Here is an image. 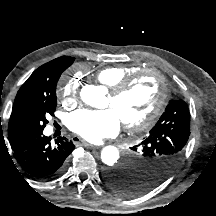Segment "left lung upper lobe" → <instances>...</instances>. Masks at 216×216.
Returning a JSON list of instances; mask_svg holds the SVG:
<instances>
[{
  "mask_svg": "<svg viewBox=\"0 0 216 216\" xmlns=\"http://www.w3.org/2000/svg\"><path fill=\"white\" fill-rule=\"evenodd\" d=\"M190 136V113L184 101L170 100L165 112L149 135L133 150L140 153L137 163L129 164L126 181L134 185L133 194L148 192L174 169Z\"/></svg>",
  "mask_w": 216,
  "mask_h": 216,
  "instance_id": "1",
  "label": "left lung upper lobe"
}]
</instances>
